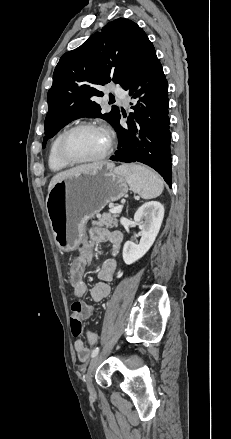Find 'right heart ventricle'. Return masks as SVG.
Segmentation results:
<instances>
[{
  "instance_id": "1",
  "label": "right heart ventricle",
  "mask_w": 231,
  "mask_h": 439,
  "mask_svg": "<svg viewBox=\"0 0 231 439\" xmlns=\"http://www.w3.org/2000/svg\"><path fill=\"white\" fill-rule=\"evenodd\" d=\"M63 132H60L51 142L48 151V166L50 170L58 172L69 167L67 163L61 160L58 155L57 147L60 136Z\"/></svg>"
}]
</instances>
